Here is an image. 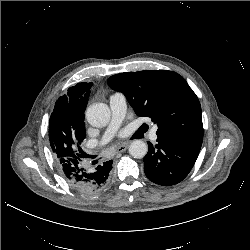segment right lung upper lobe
<instances>
[{
  "label": "right lung upper lobe",
  "instance_id": "1",
  "mask_svg": "<svg viewBox=\"0 0 250 250\" xmlns=\"http://www.w3.org/2000/svg\"><path fill=\"white\" fill-rule=\"evenodd\" d=\"M91 87L92 83L86 82L70 87L67 94L56 101L50 117L49 129L73 136L85 128L84 112Z\"/></svg>",
  "mask_w": 250,
  "mask_h": 250
}]
</instances>
